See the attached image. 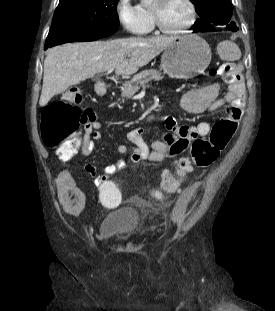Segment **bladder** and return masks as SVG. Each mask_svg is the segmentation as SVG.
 <instances>
[{
  "instance_id": "1",
  "label": "bladder",
  "mask_w": 275,
  "mask_h": 311,
  "mask_svg": "<svg viewBox=\"0 0 275 311\" xmlns=\"http://www.w3.org/2000/svg\"><path fill=\"white\" fill-rule=\"evenodd\" d=\"M140 215L136 209H117L104 216L100 224V235L107 239L133 236L139 230Z\"/></svg>"
}]
</instances>
